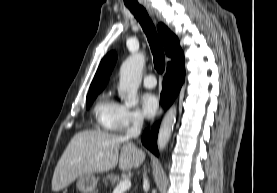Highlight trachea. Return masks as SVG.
<instances>
[{
  "label": "trachea",
  "mask_w": 277,
  "mask_h": 193,
  "mask_svg": "<svg viewBox=\"0 0 277 193\" xmlns=\"http://www.w3.org/2000/svg\"><path fill=\"white\" fill-rule=\"evenodd\" d=\"M129 10L133 13L137 21H139L143 31L145 32L152 54L154 67L159 72L162 73L165 70V56L162 43L156 32V28L150 19L146 9L140 5H127Z\"/></svg>",
  "instance_id": "3493384b"
}]
</instances>
